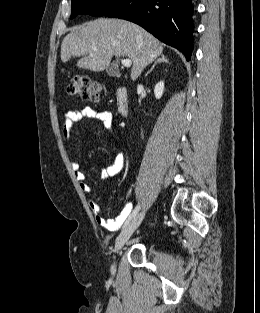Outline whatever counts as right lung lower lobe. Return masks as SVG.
Wrapping results in <instances>:
<instances>
[{
  "label": "right lung lower lobe",
  "mask_w": 260,
  "mask_h": 313,
  "mask_svg": "<svg viewBox=\"0 0 260 313\" xmlns=\"http://www.w3.org/2000/svg\"><path fill=\"white\" fill-rule=\"evenodd\" d=\"M192 0H125L105 14L134 22L191 58L194 28Z\"/></svg>",
  "instance_id": "right-lung-lower-lobe-1"
}]
</instances>
